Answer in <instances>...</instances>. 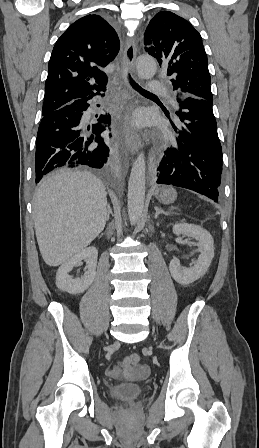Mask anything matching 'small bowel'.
Segmentation results:
<instances>
[{
    "instance_id": "c3829d8e",
    "label": "small bowel",
    "mask_w": 259,
    "mask_h": 448,
    "mask_svg": "<svg viewBox=\"0 0 259 448\" xmlns=\"http://www.w3.org/2000/svg\"><path fill=\"white\" fill-rule=\"evenodd\" d=\"M149 374V367L146 364L132 366L128 357H124L114 367L107 369L106 375L111 378H125L128 380H140Z\"/></svg>"
}]
</instances>
